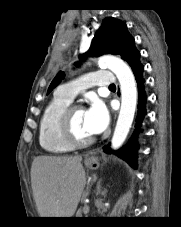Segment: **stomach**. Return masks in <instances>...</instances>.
Returning <instances> with one entry per match:
<instances>
[{"label":"stomach","mask_w":181,"mask_h":227,"mask_svg":"<svg viewBox=\"0 0 181 227\" xmlns=\"http://www.w3.org/2000/svg\"><path fill=\"white\" fill-rule=\"evenodd\" d=\"M85 166L90 170H96L99 167V159L96 156H90L85 159Z\"/></svg>","instance_id":"1"}]
</instances>
